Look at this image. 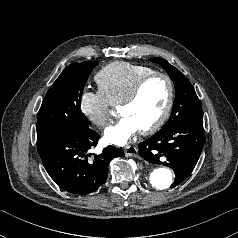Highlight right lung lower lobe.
Segmentation results:
<instances>
[{"mask_svg": "<svg viewBox=\"0 0 238 238\" xmlns=\"http://www.w3.org/2000/svg\"><path fill=\"white\" fill-rule=\"evenodd\" d=\"M98 140V133L90 128L66 131L37 142V149L46 171L61 189L86 195L105 183L109 162L124 156L121 149L108 146L89 158L87 152Z\"/></svg>", "mask_w": 238, "mask_h": 238, "instance_id": "right-lung-lower-lobe-1", "label": "right lung lower lobe"}]
</instances>
